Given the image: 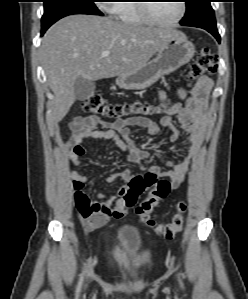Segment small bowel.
<instances>
[{"instance_id":"small-bowel-1","label":"small bowel","mask_w":248,"mask_h":299,"mask_svg":"<svg viewBox=\"0 0 248 299\" xmlns=\"http://www.w3.org/2000/svg\"><path fill=\"white\" fill-rule=\"evenodd\" d=\"M212 87V80L202 76L196 81L190 95H187L181 87L176 89L179 101L169 99L165 91L160 92L159 102L163 105L164 112L167 115H177L180 128L174 124L169 116L163 117L159 123L142 116L118 119L108 123H102L94 116L77 118L70 126L71 136L65 144L67 160L75 165H80V158L85 154V149L82 147L83 142L87 140L111 139L123 151L128 153L130 163L139 165L142 160L149 157V153L135 146L130 139V128L141 127L146 129L149 134L155 135L159 132L160 127H164L170 132V141L172 143L179 141L180 131H183L188 136V154L183 161H168L164 168L158 166L142 167L147 171L156 173L158 177L169 178L172 189H177L188 174L190 161L199 155L203 130L207 120L206 100ZM71 177L75 192L77 190L82 191L87 183V176L80 172L72 171ZM129 179L130 173L128 171L107 177L109 182L115 180L127 182ZM125 188L126 185H123L114 196L99 195V200L90 198V205L95 213L89 217L77 215L84 230H97L105 226L111 218L120 219L125 215L127 207L121 198Z\"/></svg>"}]
</instances>
